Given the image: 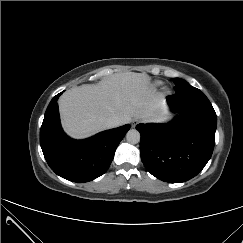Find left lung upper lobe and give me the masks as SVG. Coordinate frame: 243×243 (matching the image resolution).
<instances>
[{
    "label": "left lung upper lobe",
    "mask_w": 243,
    "mask_h": 243,
    "mask_svg": "<svg viewBox=\"0 0 243 243\" xmlns=\"http://www.w3.org/2000/svg\"><path fill=\"white\" fill-rule=\"evenodd\" d=\"M175 84H176V88L175 90H179L184 88L185 86L190 85L189 83H187L185 80L180 79V78H174L173 79ZM200 101H198L195 105L197 109H201V110H214L210 101L208 100V98L200 91Z\"/></svg>",
    "instance_id": "5c2ea615"
}]
</instances>
